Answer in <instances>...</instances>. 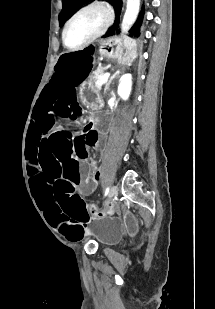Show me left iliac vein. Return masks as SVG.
<instances>
[{"instance_id": "obj_1", "label": "left iliac vein", "mask_w": 215, "mask_h": 309, "mask_svg": "<svg viewBox=\"0 0 215 309\" xmlns=\"http://www.w3.org/2000/svg\"><path fill=\"white\" fill-rule=\"evenodd\" d=\"M117 191H118V188H117V186H112L111 187V189L109 190V193H108V197L110 198V199H112L116 194H117ZM106 210V209H105ZM105 210H104V212H105Z\"/></svg>"}]
</instances>
